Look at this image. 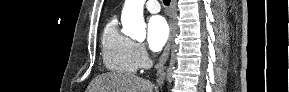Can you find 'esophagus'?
Returning <instances> with one entry per match:
<instances>
[{
	"label": "esophagus",
	"instance_id": "esophagus-1",
	"mask_svg": "<svg viewBox=\"0 0 289 92\" xmlns=\"http://www.w3.org/2000/svg\"><path fill=\"white\" fill-rule=\"evenodd\" d=\"M175 5H176V1L175 0H171L170 3V12H169V25H170V34H169V38L168 41L166 43V46L163 50V53L156 65V70H157V75H160V73L162 72L164 65L168 59L169 53H170V48L171 45L173 43L174 40V34H175Z\"/></svg>",
	"mask_w": 289,
	"mask_h": 92
}]
</instances>
